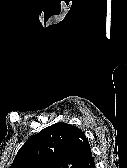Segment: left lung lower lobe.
Here are the masks:
<instances>
[{
  "label": "left lung lower lobe",
  "instance_id": "obj_1",
  "mask_svg": "<svg viewBox=\"0 0 127 168\" xmlns=\"http://www.w3.org/2000/svg\"><path fill=\"white\" fill-rule=\"evenodd\" d=\"M78 168H95L94 160L92 157V152L90 145H88L85 148V151L83 153L80 165Z\"/></svg>",
  "mask_w": 127,
  "mask_h": 168
}]
</instances>
